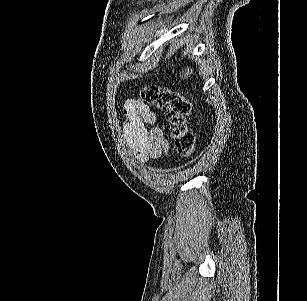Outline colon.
<instances>
[{
    "instance_id": "obj_1",
    "label": "colon",
    "mask_w": 307,
    "mask_h": 301,
    "mask_svg": "<svg viewBox=\"0 0 307 301\" xmlns=\"http://www.w3.org/2000/svg\"><path fill=\"white\" fill-rule=\"evenodd\" d=\"M141 99L168 113L170 138L177 154L189 157L195 147V137L186 120L190 113L189 101L180 93L157 85H148L140 90Z\"/></svg>"
}]
</instances>
